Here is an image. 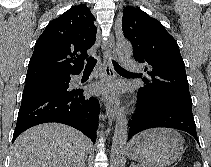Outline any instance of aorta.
Instances as JSON below:
<instances>
[{
  "mask_svg": "<svg viewBox=\"0 0 211 167\" xmlns=\"http://www.w3.org/2000/svg\"><path fill=\"white\" fill-rule=\"evenodd\" d=\"M116 53L120 61L129 58L132 54V46L127 40H119L116 43ZM125 108L119 109L113 136L110 167H122L125 159L127 143L128 121L125 116Z\"/></svg>",
  "mask_w": 211,
  "mask_h": 167,
  "instance_id": "762f6f07",
  "label": "aorta"
}]
</instances>
